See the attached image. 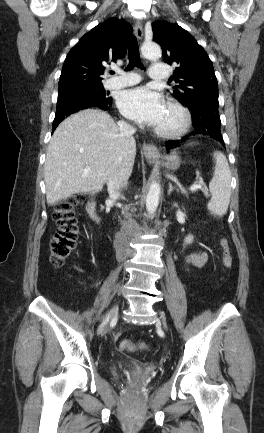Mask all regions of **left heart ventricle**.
<instances>
[{
    "instance_id": "b2bd125f",
    "label": "left heart ventricle",
    "mask_w": 264,
    "mask_h": 433,
    "mask_svg": "<svg viewBox=\"0 0 264 433\" xmlns=\"http://www.w3.org/2000/svg\"><path fill=\"white\" fill-rule=\"evenodd\" d=\"M178 121H179L178 115L175 112L166 108L164 117L162 118L161 122L157 126L163 128H171L175 126L178 123Z\"/></svg>"
}]
</instances>
